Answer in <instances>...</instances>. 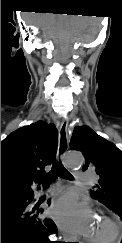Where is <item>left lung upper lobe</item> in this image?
I'll use <instances>...</instances> for the list:
<instances>
[{"mask_svg": "<svg viewBox=\"0 0 122 243\" xmlns=\"http://www.w3.org/2000/svg\"><path fill=\"white\" fill-rule=\"evenodd\" d=\"M70 147L85 157L83 171L91 166L100 176L92 197L122 219V152L88 126L74 129Z\"/></svg>", "mask_w": 122, "mask_h": 243, "instance_id": "5c2ea615", "label": "left lung upper lobe"}]
</instances>
